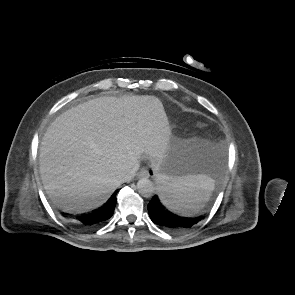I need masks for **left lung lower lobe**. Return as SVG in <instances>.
<instances>
[{
	"instance_id": "1",
	"label": "left lung lower lobe",
	"mask_w": 295,
	"mask_h": 295,
	"mask_svg": "<svg viewBox=\"0 0 295 295\" xmlns=\"http://www.w3.org/2000/svg\"><path fill=\"white\" fill-rule=\"evenodd\" d=\"M210 165L215 164V154L212 151L207 156ZM148 211L151 220L164 229L170 231H183L189 229L200 221V217L188 218L176 215L168 211L161 202V199L155 195L148 204Z\"/></svg>"
}]
</instances>
